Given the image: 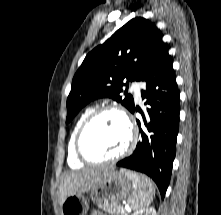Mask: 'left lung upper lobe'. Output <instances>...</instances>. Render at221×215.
<instances>
[{
	"label": "left lung upper lobe",
	"instance_id": "1",
	"mask_svg": "<svg viewBox=\"0 0 221 215\" xmlns=\"http://www.w3.org/2000/svg\"><path fill=\"white\" fill-rule=\"evenodd\" d=\"M164 45L155 24L137 17L94 48L74 75L67 98L66 123L87 103L101 97L113 98L131 111L133 97L126 92L123 97L122 87L128 86L129 81H141Z\"/></svg>",
	"mask_w": 221,
	"mask_h": 215
}]
</instances>
